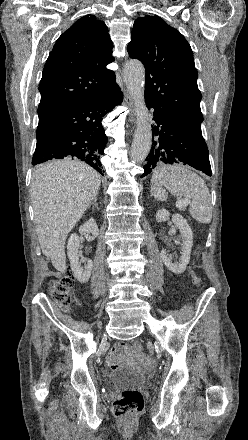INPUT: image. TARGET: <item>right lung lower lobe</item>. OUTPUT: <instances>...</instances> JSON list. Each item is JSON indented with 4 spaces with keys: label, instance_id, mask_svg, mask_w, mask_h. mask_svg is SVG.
I'll return each instance as SVG.
<instances>
[{
    "label": "right lung lower lobe",
    "instance_id": "right-lung-lower-lobe-1",
    "mask_svg": "<svg viewBox=\"0 0 248 440\" xmlns=\"http://www.w3.org/2000/svg\"><path fill=\"white\" fill-rule=\"evenodd\" d=\"M121 102L122 93L114 81L107 91L98 96L72 101L39 116L32 164L77 157L103 175L100 158L107 137L101 121Z\"/></svg>",
    "mask_w": 248,
    "mask_h": 440
}]
</instances>
